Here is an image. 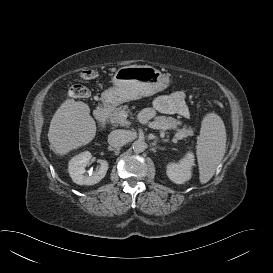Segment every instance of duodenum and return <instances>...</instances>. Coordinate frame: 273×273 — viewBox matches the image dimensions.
<instances>
[{
	"label": "duodenum",
	"mask_w": 273,
	"mask_h": 273,
	"mask_svg": "<svg viewBox=\"0 0 273 273\" xmlns=\"http://www.w3.org/2000/svg\"><path fill=\"white\" fill-rule=\"evenodd\" d=\"M95 116L100 127H104L108 116V110L105 107H98L95 110Z\"/></svg>",
	"instance_id": "obj_1"
}]
</instances>
